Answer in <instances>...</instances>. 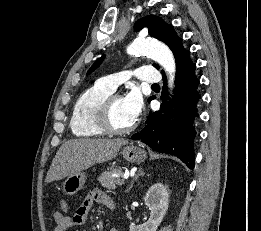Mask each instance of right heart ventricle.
Here are the masks:
<instances>
[{
  "label": "right heart ventricle",
  "mask_w": 261,
  "mask_h": 231,
  "mask_svg": "<svg viewBox=\"0 0 261 231\" xmlns=\"http://www.w3.org/2000/svg\"><path fill=\"white\" fill-rule=\"evenodd\" d=\"M113 93L101 83H96L80 95L70 116V128L77 137L104 136L106 132L96 123V113L102 102Z\"/></svg>",
  "instance_id": "1"
}]
</instances>
